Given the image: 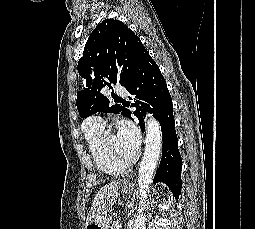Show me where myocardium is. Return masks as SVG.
Here are the masks:
<instances>
[{"mask_svg":"<svg viewBox=\"0 0 255 229\" xmlns=\"http://www.w3.org/2000/svg\"><path fill=\"white\" fill-rule=\"evenodd\" d=\"M101 147L104 152V154L117 166L120 168H123L124 170L126 168L131 167L138 159V153L134 154V156L129 160H121L117 158L108 148L106 143V135L102 136L101 139Z\"/></svg>","mask_w":255,"mask_h":229,"instance_id":"obj_1","label":"myocardium"}]
</instances>
